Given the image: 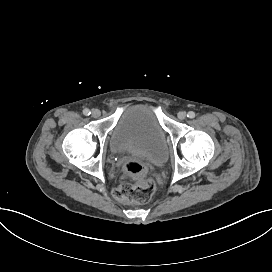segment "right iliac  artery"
I'll use <instances>...</instances> for the list:
<instances>
[{
  "label": "right iliac artery",
  "mask_w": 272,
  "mask_h": 272,
  "mask_svg": "<svg viewBox=\"0 0 272 272\" xmlns=\"http://www.w3.org/2000/svg\"><path fill=\"white\" fill-rule=\"evenodd\" d=\"M83 114H84L85 116H89V115L91 114V112H90L89 109H84V110H83Z\"/></svg>",
  "instance_id": "82829eb1"
}]
</instances>
